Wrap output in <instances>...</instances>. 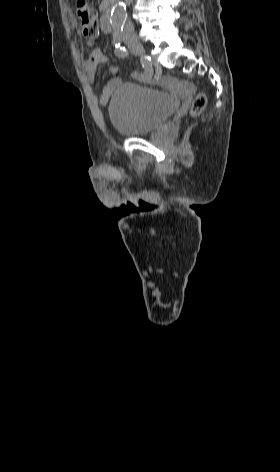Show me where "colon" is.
Masks as SVG:
<instances>
[{
	"label": "colon",
	"instance_id": "5ec220e1",
	"mask_svg": "<svg viewBox=\"0 0 280 472\" xmlns=\"http://www.w3.org/2000/svg\"><path fill=\"white\" fill-rule=\"evenodd\" d=\"M76 13L80 21L82 34L88 43L92 44L99 35L98 15L96 10L86 1L78 0L76 3ZM207 97L203 92H199L191 105L190 113L198 116L205 109Z\"/></svg>",
	"mask_w": 280,
	"mask_h": 472
}]
</instances>
